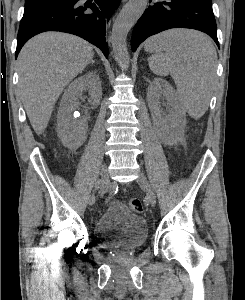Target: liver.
Returning <instances> with one entry per match:
<instances>
[{
  "mask_svg": "<svg viewBox=\"0 0 245 300\" xmlns=\"http://www.w3.org/2000/svg\"><path fill=\"white\" fill-rule=\"evenodd\" d=\"M92 46L60 32L30 39L18 56L19 92L30 123L41 135L64 88L90 63Z\"/></svg>",
  "mask_w": 245,
  "mask_h": 300,
  "instance_id": "obj_1",
  "label": "liver"
}]
</instances>
